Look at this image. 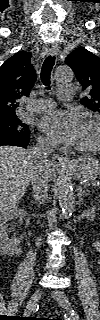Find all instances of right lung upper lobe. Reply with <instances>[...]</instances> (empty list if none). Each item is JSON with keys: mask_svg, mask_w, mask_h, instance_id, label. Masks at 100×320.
I'll return each instance as SVG.
<instances>
[{"mask_svg": "<svg viewBox=\"0 0 100 320\" xmlns=\"http://www.w3.org/2000/svg\"><path fill=\"white\" fill-rule=\"evenodd\" d=\"M31 53L19 51L0 67V119L17 117L19 100L28 96L36 73L30 62Z\"/></svg>", "mask_w": 100, "mask_h": 320, "instance_id": "cb5924a9", "label": "right lung upper lobe"}]
</instances>
